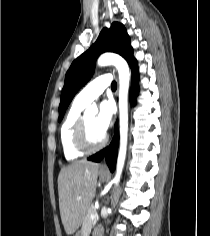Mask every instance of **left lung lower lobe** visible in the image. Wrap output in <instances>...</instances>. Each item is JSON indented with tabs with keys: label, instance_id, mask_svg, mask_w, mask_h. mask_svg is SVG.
Instances as JSON below:
<instances>
[{
	"label": "left lung lower lobe",
	"instance_id": "0a47b994",
	"mask_svg": "<svg viewBox=\"0 0 210 236\" xmlns=\"http://www.w3.org/2000/svg\"><path fill=\"white\" fill-rule=\"evenodd\" d=\"M138 81H139V74L137 71V67H135L133 69V74H132V88H131V98L133 102L134 98L137 96L139 91ZM117 143H118V134H117V123H116L115 136L110 146L98 152L97 154L89 157L88 160L100 162L103 158H106L109 169L111 172H113L115 169V161L118 148Z\"/></svg>",
	"mask_w": 210,
	"mask_h": 236
}]
</instances>
